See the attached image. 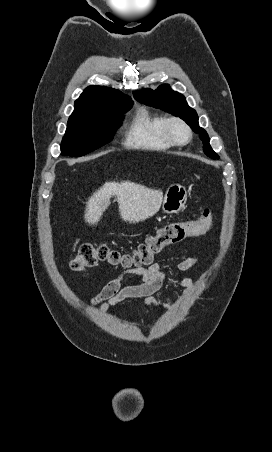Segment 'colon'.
Listing matches in <instances>:
<instances>
[{
  "mask_svg": "<svg viewBox=\"0 0 272 452\" xmlns=\"http://www.w3.org/2000/svg\"><path fill=\"white\" fill-rule=\"evenodd\" d=\"M212 225L213 214L207 209L199 219L165 223L130 251H124L106 242L83 243L75 258L70 262V268L74 272H84L99 264L121 267L150 265L155 257L167 247L177 244L187 237L201 235L207 232Z\"/></svg>",
  "mask_w": 272,
  "mask_h": 452,
  "instance_id": "colon-1",
  "label": "colon"
}]
</instances>
